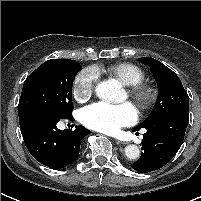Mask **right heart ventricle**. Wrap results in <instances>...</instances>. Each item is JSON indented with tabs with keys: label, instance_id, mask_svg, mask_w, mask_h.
<instances>
[{
	"label": "right heart ventricle",
	"instance_id": "obj_1",
	"mask_svg": "<svg viewBox=\"0 0 201 201\" xmlns=\"http://www.w3.org/2000/svg\"><path fill=\"white\" fill-rule=\"evenodd\" d=\"M101 70L103 69L97 68V71ZM105 70L127 86L140 83L145 78L143 70L132 63H116L108 66Z\"/></svg>",
	"mask_w": 201,
	"mask_h": 201
}]
</instances>
